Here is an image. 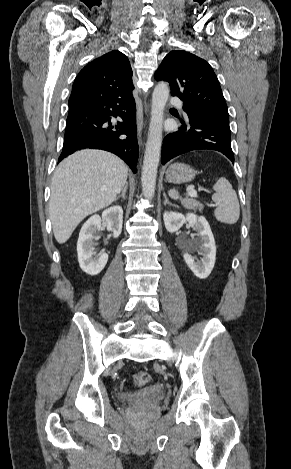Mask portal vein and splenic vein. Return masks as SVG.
<instances>
[{
    "label": "portal vein and splenic vein",
    "instance_id": "18ae733b",
    "mask_svg": "<svg viewBox=\"0 0 291 469\" xmlns=\"http://www.w3.org/2000/svg\"><path fill=\"white\" fill-rule=\"evenodd\" d=\"M187 195L190 197H197V192L196 190H194V188H191L190 190H188Z\"/></svg>",
    "mask_w": 291,
    "mask_h": 469
}]
</instances>
